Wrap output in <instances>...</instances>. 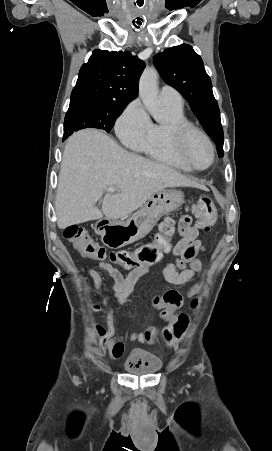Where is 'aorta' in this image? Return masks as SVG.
<instances>
[{
    "label": "aorta",
    "mask_w": 272,
    "mask_h": 451,
    "mask_svg": "<svg viewBox=\"0 0 272 451\" xmlns=\"http://www.w3.org/2000/svg\"><path fill=\"white\" fill-rule=\"evenodd\" d=\"M158 72L154 66L145 68L139 80V96L155 122L162 124L167 120L166 114H162L161 104L158 100Z\"/></svg>",
    "instance_id": "1"
}]
</instances>
